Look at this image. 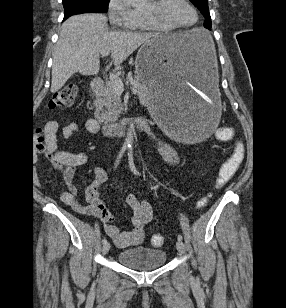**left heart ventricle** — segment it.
<instances>
[{
    "instance_id": "left-heart-ventricle-1",
    "label": "left heart ventricle",
    "mask_w": 286,
    "mask_h": 308,
    "mask_svg": "<svg viewBox=\"0 0 286 308\" xmlns=\"http://www.w3.org/2000/svg\"><path fill=\"white\" fill-rule=\"evenodd\" d=\"M151 10H154V1L146 9ZM163 12L170 21L178 25H190L196 18L194 11L183 0H168Z\"/></svg>"
}]
</instances>
